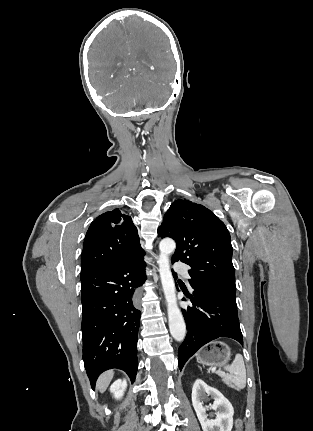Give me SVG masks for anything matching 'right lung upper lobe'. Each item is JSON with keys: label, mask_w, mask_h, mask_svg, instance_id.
Returning <instances> with one entry per match:
<instances>
[{"label": "right lung upper lobe", "mask_w": 313, "mask_h": 431, "mask_svg": "<svg viewBox=\"0 0 313 431\" xmlns=\"http://www.w3.org/2000/svg\"><path fill=\"white\" fill-rule=\"evenodd\" d=\"M144 254L131 217L116 208L91 223L84 240L81 271L115 266Z\"/></svg>", "instance_id": "1"}]
</instances>
